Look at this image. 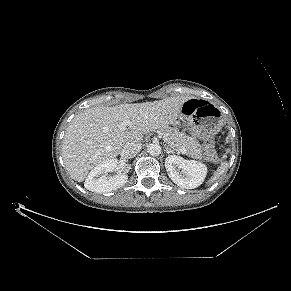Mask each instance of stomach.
Wrapping results in <instances>:
<instances>
[{"label": "stomach", "mask_w": 291, "mask_h": 291, "mask_svg": "<svg viewBox=\"0 0 291 291\" xmlns=\"http://www.w3.org/2000/svg\"><path fill=\"white\" fill-rule=\"evenodd\" d=\"M186 123L192 134L201 138H208L221 130L223 118L217 106L206 103L199 106L192 114L187 115Z\"/></svg>", "instance_id": "1"}]
</instances>
